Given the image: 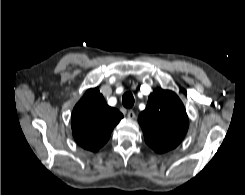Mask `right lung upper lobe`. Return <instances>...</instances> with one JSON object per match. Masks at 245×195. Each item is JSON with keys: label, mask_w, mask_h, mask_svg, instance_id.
<instances>
[{"label": "right lung upper lobe", "mask_w": 245, "mask_h": 195, "mask_svg": "<svg viewBox=\"0 0 245 195\" xmlns=\"http://www.w3.org/2000/svg\"><path fill=\"white\" fill-rule=\"evenodd\" d=\"M122 118L117 109L107 105L98 88L89 89L73 109V136L81 147L95 152Z\"/></svg>", "instance_id": "cb5924a9"}]
</instances>
